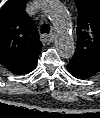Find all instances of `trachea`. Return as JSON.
Instances as JSON below:
<instances>
[{
	"label": "trachea",
	"mask_w": 100,
	"mask_h": 118,
	"mask_svg": "<svg viewBox=\"0 0 100 118\" xmlns=\"http://www.w3.org/2000/svg\"><path fill=\"white\" fill-rule=\"evenodd\" d=\"M41 33L42 34H49L50 33V26L48 24H42Z\"/></svg>",
	"instance_id": "trachea-1"
}]
</instances>
